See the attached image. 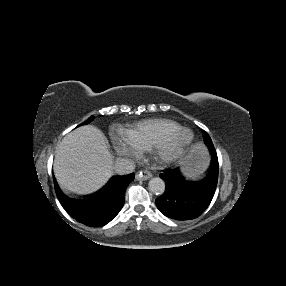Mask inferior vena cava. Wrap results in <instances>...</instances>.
Listing matches in <instances>:
<instances>
[{
    "label": "inferior vena cava",
    "instance_id": "1",
    "mask_svg": "<svg viewBox=\"0 0 286 286\" xmlns=\"http://www.w3.org/2000/svg\"><path fill=\"white\" fill-rule=\"evenodd\" d=\"M113 169L118 175L130 174L135 169V163L130 159L118 158L114 163Z\"/></svg>",
    "mask_w": 286,
    "mask_h": 286
}]
</instances>
